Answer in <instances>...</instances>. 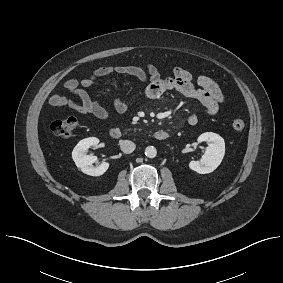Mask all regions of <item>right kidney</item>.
<instances>
[{
    "label": "right kidney",
    "mask_w": 283,
    "mask_h": 283,
    "mask_svg": "<svg viewBox=\"0 0 283 283\" xmlns=\"http://www.w3.org/2000/svg\"><path fill=\"white\" fill-rule=\"evenodd\" d=\"M99 139L89 137L81 140L72 151V158L76 166L85 174L90 176L103 175L109 168V163L103 162L99 166L94 167L92 164L97 161V157L87 155L86 152L91 146H97Z\"/></svg>",
    "instance_id": "1"
}]
</instances>
